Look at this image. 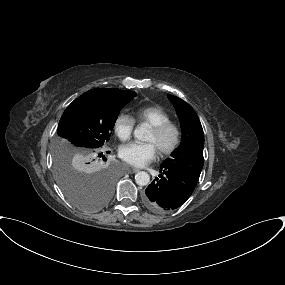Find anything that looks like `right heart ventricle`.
Wrapping results in <instances>:
<instances>
[{
  "label": "right heart ventricle",
  "mask_w": 285,
  "mask_h": 285,
  "mask_svg": "<svg viewBox=\"0 0 285 285\" xmlns=\"http://www.w3.org/2000/svg\"><path fill=\"white\" fill-rule=\"evenodd\" d=\"M136 120L155 126L171 120L170 115L161 107L149 105L137 108L134 111Z\"/></svg>",
  "instance_id": "right-heart-ventricle-1"
}]
</instances>
